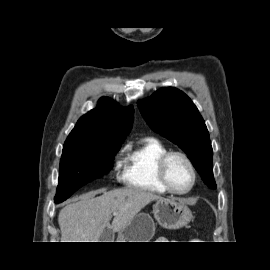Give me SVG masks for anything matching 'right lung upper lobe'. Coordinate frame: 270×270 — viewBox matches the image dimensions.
<instances>
[{
    "label": "right lung upper lobe",
    "instance_id": "right-lung-upper-lobe-1",
    "mask_svg": "<svg viewBox=\"0 0 270 270\" xmlns=\"http://www.w3.org/2000/svg\"><path fill=\"white\" fill-rule=\"evenodd\" d=\"M133 107L121 109L119 105L103 97L97 108L83 115L65 142L109 144L123 142L133 123Z\"/></svg>",
    "mask_w": 270,
    "mask_h": 270
}]
</instances>
